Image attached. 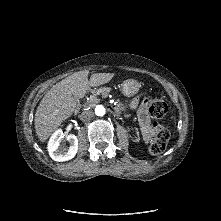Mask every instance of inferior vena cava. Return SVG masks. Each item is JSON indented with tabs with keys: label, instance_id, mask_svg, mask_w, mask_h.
I'll list each match as a JSON object with an SVG mask.
<instances>
[{
	"label": "inferior vena cava",
	"instance_id": "inferior-vena-cava-1",
	"mask_svg": "<svg viewBox=\"0 0 221 221\" xmlns=\"http://www.w3.org/2000/svg\"><path fill=\"white\" fill-rule=\"evenodd\" d=\"M93 115H94V112L92 110H86L80 114L79 118L82 121H88L93 117Z\"/></svg>",
	"mask_w": 221,
	"mask_h": 221
}]
</instances>
